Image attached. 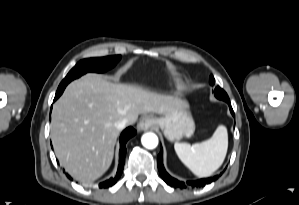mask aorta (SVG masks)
I'll return each instance as SVG.
<instances>
[{
  "instance_id": "obj_1",
  "label": "aorta",
  "mask_w": 299,
  "mask_h": 205,
  "mask_svg": "<svg viewBox=\"0 0 299 205\" xmlns=\"http://www.w3.org/2000/svg\"><path fill=\"white\" fill-rule=\"evenodd\" d=\"M142 145L147 149H154L158 145V137L154 133H145L141 138Z\"/></svg>"
}]
</instances>
